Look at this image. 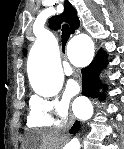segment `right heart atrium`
<instances>
[{"label":"right heart atrium","mask_w":124,"mask_h":149,"mask_svg":"<svg viewBox=\"0 0 124 149\" xmlns=\"http://www.w3.org/2000/svg\"><path fill=\"white\" fill-rule=\"evenodd\" d=\"M68 99H50L35 96L31 100L28 125L33 128H49L65 118L68 112Z\"/></svg>","instance_id":"obj_1"}]
</instances>
